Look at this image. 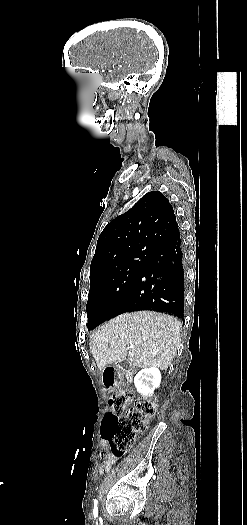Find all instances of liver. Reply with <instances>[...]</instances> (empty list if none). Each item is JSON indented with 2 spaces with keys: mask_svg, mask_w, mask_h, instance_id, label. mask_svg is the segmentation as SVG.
<instances>
[{
  "mask_svg": "<svg viewBox=\"0 0 247 525\" xmlns=\"http://www.w3.org/2000/svg\"><path fill=\"white\" fill-rule=\"evenodd\" d=\"M181 329L178 319L164 313H123L94 331L89 347L99 371L122 361L135 369L167 371L177 353Z\"/></svg>",
  "mask_w": 247,
  "mask_h": 525,
  "instance_id": "liver-1",
  "label": "liver"
}]
</instances>
